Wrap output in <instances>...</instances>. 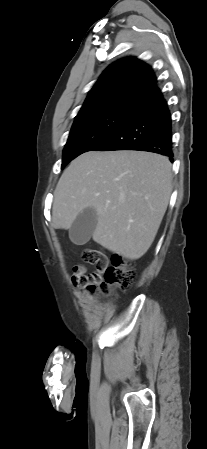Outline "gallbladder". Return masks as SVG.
Returning <instances> with one entry per match:
<instances>
[{"instance_id": "bac80fb5", "label": "gallbladder", "mask_w": 207, "mask_h": 449, "mask_svg": "<svg viewBox=\"0 0 207 449\" xmlns=\"http://www.w3.org/2000/svg\"><path fill=\"white\" fill-rule=\"evenodd\" d=\"M97 225V214L93 208L81 211L69 229V237L76 245L86 244Z\"/></svg>"}]
</instances>
